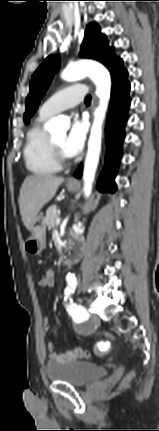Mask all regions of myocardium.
Here are the masks:
<instances>
[{
    "mask_svg": "<svg viewBox=\"0 0 159 431\" xmlns=\"http://www.w3.org/2000/svg\"><path fill=\"white\" fill-rule=\"evenodd\" d=\"M51 147L53 150L54 158L59 166L67 165L70 161L69 156L63 151L61 147H59L53 139H50Z\"/></svg>",
    "mask_w": 159,
    "mask_h": 431,
    "instance_id": "1",
    "label": "myocardium"
}]
</instances>
